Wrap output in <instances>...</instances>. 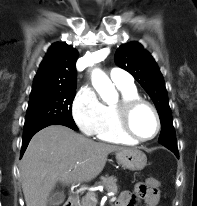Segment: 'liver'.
I'll return each mask as SVG.
<instances>
[{"label": "liver", "mask_w": 197, "mask_h": 206, "mask_svg": "<svg viewBox=\"0 0 197 206\" xmlns=\"http://www.w3.org/2000/svg\"><path fill=\"white\" fill-rule=\"evenodd\" d=\"M119 150L125 148L92 141L65 126L42 129L20 163L26 206H47L58 181L65 185L91 181L103 170L108 155Z\"/></svg>", "instance_id": "obj_1"}]
</instances>
